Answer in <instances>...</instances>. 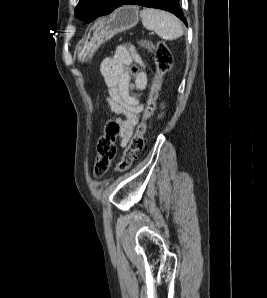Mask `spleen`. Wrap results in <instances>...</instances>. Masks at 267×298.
Returning a JSON list of instances; mask_svg holds the SVG:
<instances>
[{
  "mask_svg": "<svg viewBox=\"0 0 267 298\" xmlns=\"http://www.w3.org/2000/svg\"><path fill=\"white\" fill-rule=\"evenodd\" d=\"M143 26L154 31L164 40H175L183 35L180 20L173 14L151 8H144L140 12Z\"/></svg>",
  "mask_w": 267,
  "mask_h": 298,
  "instance_id": "spleen-1",
  "label": "spleen"
}]
</instances>
